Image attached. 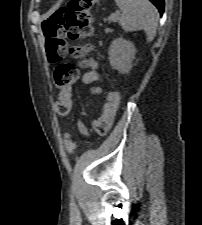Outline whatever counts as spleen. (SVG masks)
Masks as SVG:
<instances>
[{"instance_id":"1","label":"spleen","mask_w":202,"mask_h":225,"mask_svg":"<svg viewBox=\"0 0 202 225\" xmlns=\"http://www.w3.org/2000/svg\"><path fill=\"white\" fill-rule=\"evenodd\" d=\"M122 15L119 23L126 32L144 30L147 41H152L156 35L159 15L157 9L149 0H115Z\"/></svg>"}]
</instances>
